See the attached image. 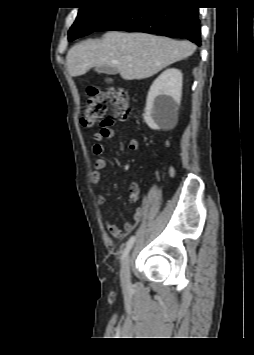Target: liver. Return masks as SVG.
<instances>
[{"instance_id": "liver-1", "label": "liver", "mask_w": 254, "mask_h": 355, "mask_svg": "<svg viewBox=\"0 0 254 355\" xmlns=\"http://www.w3.org/2000/svg\"><path fill=\"white\" fill-rule=\"evenodd\" d=\"M196 45L146 33L108 32L102 39H89L73 46L66 62L72 77L92 67H114L125 80L153 76L170 64L191 56Z\"/></svg>"}]
</instances>
